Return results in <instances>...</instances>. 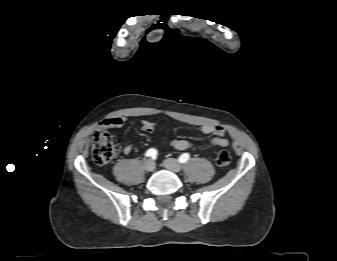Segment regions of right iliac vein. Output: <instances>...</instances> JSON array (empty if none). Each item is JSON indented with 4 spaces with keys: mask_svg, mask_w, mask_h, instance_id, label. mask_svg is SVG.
<instances>
[{
    "mask_svg": "<svg viewBox=\"0 0 337 261\" xmlns=\"http://www.w3.org/2000/svg\"><path fill=\"white\" fill-rule=\"evenodd\" d=\"M144 168L148 172H152L155 169V163L153 160L149 159L144 163Z\"/></svg>",
    "mask_w": 337,
    "mask_h": 261,
    "instance_id": "obj_1",
    "label": "right iliac vein"
}]
</instances>
